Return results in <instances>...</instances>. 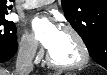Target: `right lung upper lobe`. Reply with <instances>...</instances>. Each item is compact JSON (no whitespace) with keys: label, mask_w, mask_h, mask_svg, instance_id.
Here are the masks:
<instances>
[{"label":"right lung upper lobe","mask_w":107,"mask_h":75,"mask_svg":"<svg viewBox=\"0 0 107 75\" xmlns=\"http://www.w3.org/2000/svg\"><path fill=\"white\" fill-rule=\"evenodd\" d=\"M11 8L12 6L7 5V0H0V17H5Z\"/></svg>","instance_id":"obj_1"}]
</instances>
